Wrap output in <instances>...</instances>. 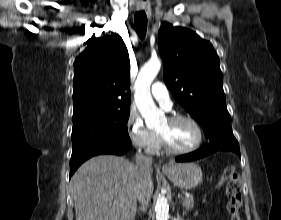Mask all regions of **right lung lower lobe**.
Returning <instances> with one entry per match:
<instances>
[{
	"label": "right lung lower lobe",
	"instance_id": "obj_1",
	"mask_svg": "<svg viewBox=\"0 0 281 220\" xmlns=\"http://www.w3.org/2000/svg\"><path fill=\"white\" fill-rule=\"evenodd\" d=\"M130 146L131 145L114 143L107 145L83 146L77 150L72 151L70 160V177L84 161L91 158L92 156L101 154L123 155L128 151Z\"/></svg>",
	"mask_w": 281,
	"mask_h": 220
}]
</instances>
